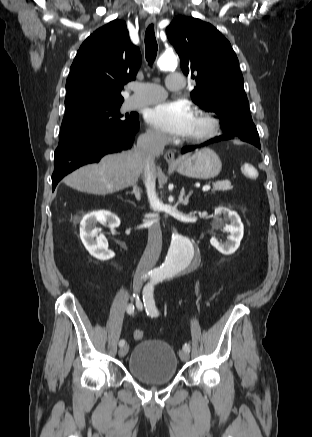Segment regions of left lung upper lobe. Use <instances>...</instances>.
Returning a JSON list of instances; mask_svg holds the SVG:
<instances>
[{
  "instance_id": "obj_1",
  "label": "left lung upper lobe",
  "mask_w": 312,
  "mask_h": 437,
  "mask_svg": "<svg viewBox=\"0 0 312 437\" xmlns=\"http://www.w3.org/2000/svg\"><path fill=\"white\" fill-rule=\"evenodd\" d=\"M166 32L184 74L196 80L193 102L221 120L225 135L259 143L239 61L229 41L214 26L193 17L177 16Z\"/></svg>"
}]
</instances>
